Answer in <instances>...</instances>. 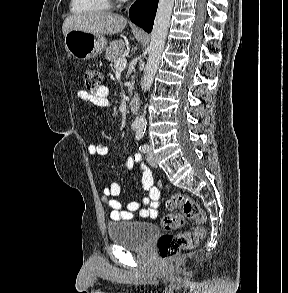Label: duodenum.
Listing matches in <instances>:
<instances>
[{"label":"duodenum","instance_id":"obj_1","mask_svg":"<svg viewBox=\"0 0 288 293\" xmlns=\"http://www.w3.org/2000/svg\"><path fill=\"white\" fill-rule=\"evenodd\" d=\"M129 108L132 112H137L139 108V97L134 94L129 99Z\"/></svg>","mask_w":288,"mask_h":293}]
</instances>
